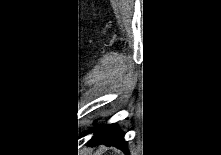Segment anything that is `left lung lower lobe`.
<instances>
[{
	"instance_id": "0a47b994",
	"label": "left lung lower lobe",
	"mask_w": 221,
	"mask_h": 155,
	"mask_svg": "<svg viewBox=\"0 0 221 155\" xmlns=\"http://www.w3.org/2000/svg\"><path fill=\"white\" fill-rule=\"evenodd\" d=\"M104 143L108 146H117L123 149L127 154V142L124 140L123 133L114 125L105 126L97 131L90 140L91 145Z\"/></svg>"
}]
</instances>
